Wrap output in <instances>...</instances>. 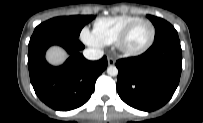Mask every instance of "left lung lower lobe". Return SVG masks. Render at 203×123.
<instances>
[{"mask_svg": "<svg viewBox=\"0 0 203 123\" xmlns=\"http://www.w3.org/2000/svg\"><path fill=\"white\" fill-rule=\"evenodd\" d=\"M117 91L129 106L154 111L173 96L182 70V50L178 34L167 35L142 55L120 59Z\"/></svg>", "mask_w": 203, "mask_h": 123, "instance_id": "left-lung-lower-lobe-1", "label": "left lung lower lobe"}]
</instances>
